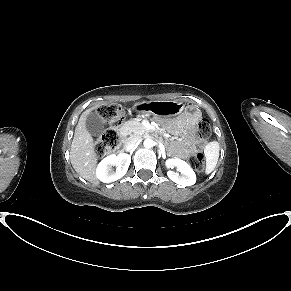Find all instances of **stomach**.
<instances>
[{
  "label": "stomach",
  "mask_w": 291,
  "mask_h": 291,
  "mask_svg": "<svg viewBox=\"0 0 291 291\" xmlns=\"http://www.w3.org/2000/svg\"><path fill=\"white\" fill-rule=\"evenodd\" d=\"M185 105L179 101H159L136 103L133 110L138 113L150 112L157 117H177V111Z\"/></svg>",
  "instance_id": "stomach-1"
}]
</instances>
